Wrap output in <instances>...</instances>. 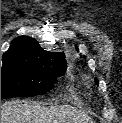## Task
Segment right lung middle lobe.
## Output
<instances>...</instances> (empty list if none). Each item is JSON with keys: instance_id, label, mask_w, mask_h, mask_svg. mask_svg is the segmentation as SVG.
<instances>
[{"instance_id": "dd1d6c3e", "label": "right lung middle lobe", "mask_w": 122, "mask_h": 123, "mask_svg": "<svg viewBox=\"0 0 122 123\" xmlns=\"http://www.w3.org/2000/svg\"><path fill=\"white\" fill-rule=\"evenodd\" d=\"M66 66H41L16 60H3L1 99L42 95L54 88Z\"/></svg>"}]
</instances>
